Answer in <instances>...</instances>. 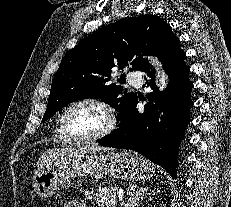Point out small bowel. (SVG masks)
Wrapping results in <instances>:
<instances>
[{
    "label": "small bowel",
    "mask_w": 231,
    "mask_h": 207,
    "mask_svg": "<svg viewBox=\"0 0 231 207\" xmlns=\"http://www.w3.org/2000/svg\"><path fill=\"white\" fill-rule=\"evenodd\" d=\"M63 207H86L81 199H73L63 205Z\"/></svg>",
    "instance_id": "c3829d8e"
}]
</instances>
